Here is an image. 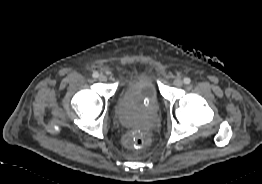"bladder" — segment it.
<instances>
[{
	"label": "bladder",
	"instance_id": "1",
	"mask_svg": "<svg viewBox=\"0 0 262 184\" xmlns=\"http://www.w3.org/2000/svg\"><path fill=\"white\" fill-rule=\"evenodd\" d=\"M136 96L147 98L155 106L159 104L160 89L152 75L148 73H136L123 81L120 92L121 103L132 100ZM118 114L119 120L123 125L131 127L140 123L134 116L124 113L122 108L119 109Z\"/></svg>",
	"mask_w": 262,
	"mask_h": 184
}]
</instances>
